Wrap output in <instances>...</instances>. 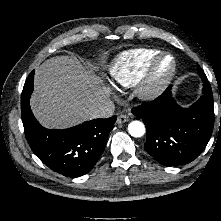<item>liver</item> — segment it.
<instances>
[{"instance_id": "obj_1", "label": "liver", "mask_w": 221, "mask_h": 221, "mask_svg": "<svg viewBox=\"0 0 221 221\" xmlns=\"http://www.w3.org/2000/svg\"><path fill=\"white\" fill-rule=\"evenodd\" d=\"M108 97L102 80L77 58L56 56L36 69L30 105L44 127L64 129L92 119V110Z\"/></svg>"}]
</instances>
